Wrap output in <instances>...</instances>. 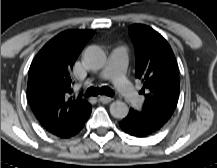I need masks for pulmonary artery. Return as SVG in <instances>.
<instances>
[{
	"label": "pulmonary artery",
	"instance_id": "obj_1",
	"mask_svg": "<svg viewBox=\"0 0 217 168\" xmlns=\"http://www.w3.org/2000/svg\"><path fill=\"white\" fill-rule=\"evenodd\" d=\"M127 61V49L122 45L116 46L110 54L108 66L100 72L99 78L110 79L125 102L138 105L141 102V97L125 77Z\"/></svg>",
	"mask_w": 217,
	"mask_h": 168
}]
</instances>
